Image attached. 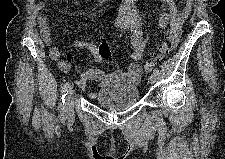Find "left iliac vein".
<instances>
[{"label": "left iliac vein", "instance_id": "4c4485c4", "mask_svg": "<svg viewBox=\"0 0 225 159\" xmlns=\"http://www.w3.org/2000/svg\"><path fill=\"white\" fill-rule=\"evenodd\" d=\"M156 80H157V75L153 73L149 78V83L154 84Z\"/></svg>", "mask_w": 225, "mask_h": 159}]
</instances>
